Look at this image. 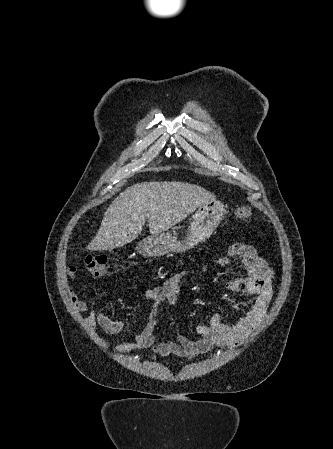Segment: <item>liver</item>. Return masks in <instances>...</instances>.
<instances>
[{
	"label": "liver",
	"instance_id": "1",
	"mask_svg": "<svg viewBox=\"0 0 333 449\" xmlns=\"http://www.w3.org/2000/svg\"><path fill=\"white\" fill-rule=\"evenodd\" d=\"M211 200H216L214 194L184 182L133 185L110 204L88 248L113 250L124 246L141 234L146 219L150 233L158 235Z\"/></svg>",
	"mask_w": 333,
	"mask_h": 449
}]
</instances>
